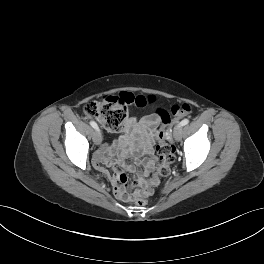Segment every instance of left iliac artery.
<instances>
[{
    "label": "left iliac artery",
    "instance_id": "1",
    "mask_svg": "<svg viewBox=\"0 0 264 264\" xmlns=\"http://www.w3.org/2000/svg\"><path fill=\"white\" fill-rule=\"evenodd\" d=\"M188 123H189V119H184V120H182V121L180 122L179 125H181V126H185V125H187Z\"/></svg>",
    "mask_w": 264,
    "mask_h": 264
}]
</instances>
